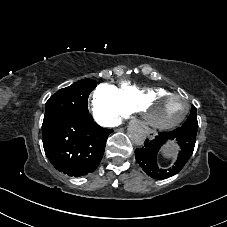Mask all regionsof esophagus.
Segmentation results:
<instances>
[{"instance_id":"esophagus-1","label":"esophagus","mask_w":227,"mask_h":227,"mask_svg":"<svg viewBox=\"0 0 227 227\" xmlns=\"http://www.w3.org/2000/svg\"><path fill=\"white\" fill-rule=\"evenodd\" d=\"M155 135H156V132H155V130H153V129H150V130H148V132H147V140L148 141H153L154 140V138H155Z\"/></svg>"}]
</instances>
